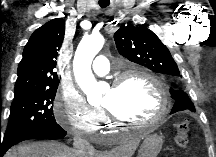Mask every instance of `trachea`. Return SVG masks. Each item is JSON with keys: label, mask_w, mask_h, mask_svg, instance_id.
Masks as SVG:
<instances>
[{"label": "trachea", "mask_w": 216, "mask_h": 157, "mask_svg": "<svg viewBox=\"0 0 216 157\" xmlns=\"http://www.w3.org/2000/svg\"><path fill=\"white\" fill-rule=\"evenodd\" d=\"M99 5H100L101 8H106L107 6H109V2L99 1Z\"/></svg>", "instance_id": "obj_1"}]
</instances>
